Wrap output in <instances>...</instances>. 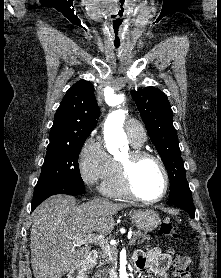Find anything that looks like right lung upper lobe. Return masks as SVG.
<instances>
[{"mask_svg":"<svg viewBox=\"0 0 221 278\" xmlns=\"http://www.w3.org/2000/svg\"><path fill=\"white\" fill-rule=\"evenodd\" d=\"M100 110L89 81L75 83L65 94L54 118L49 145L72 143L92 132Z\"/></svg>","mask_w":221,"mask_h":278,"instance_id":"cb5924a9","label":"right lung upper lobe"}]
</instances>
